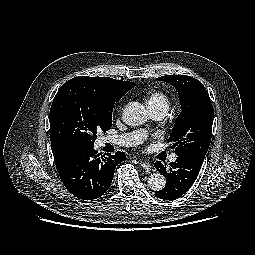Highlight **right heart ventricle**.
Segmentation results:
<instances>
[{"instance_id":"e07e8e85","label":"right heart ventricle","mask_w":255,"mask_h":255,"mask_svg":"<svg viewBox=\"0 0 255 255\" xmlns=\"http://www.w3.org/2000/svg\"><path fill=\"white\" fill-rule=\"evenodd\" d=\"M147 107L150 111L163 109L168 110L170 106V100L168 96L161 91H154L149 93L145 98Z\"/></svg>"}]
</instances>
